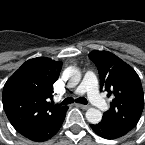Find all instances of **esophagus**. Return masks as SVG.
Here are the masks:
<instances>
[{
    "instance_id": "1",
    "label": "esophagus",
    "mask_w": 145,
    "mask_h": 145,
    "mask_svg": "<svg viewBox=\"0 0 145 145\" xmlns=\"http://www.w3.org/2000/svg\"><path fill=\"white\" fill-rule=\"evenodd\" d=\"M74 106L75 107H79V108H81L83 110H86V109H88L90 107L89 105H83V104H78V103H74Z\"/></svg>"
}]
</instances>
